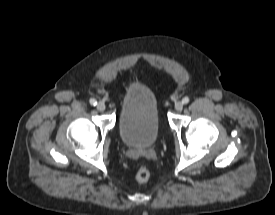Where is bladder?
Instances as JSON below:
<instances>
[{
	"label": "bladder",
	"mask_w": 275,
	"mask_h": 215,
	"mask_svg": "<svg viewBox=\"0 0 275 215\" xmlns=\"http://www.w3.org/2000/svg\"><path fill=\"white\" fill-rule=\"evenodd\" d=\"M121 140L130 147L152 146L160 131L157 98L144 84L128 87L118 122Z\"/></svg>",
	"instance_id": "1"
}]
</instances>
